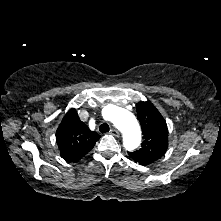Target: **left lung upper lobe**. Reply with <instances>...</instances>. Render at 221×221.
Instances as JSON below:
<instances>
[{
  "label": "left lung upper lobe",
  "mask_w": 221,
  "mask_h": 221,
  "mask_svg": "<svg viewBox=\"0 0 221 221\" xmlns=\"http://www.w3.org/2000/svg\"><path fill=\"white\" fill-rule=\"evenodd\" d=\"M137 116L143 133L142 147L128 153L140 165L151 164L161 158L168 147V129L162 115L149 102H139L136 105Z\"/></svg>",
  "instance_id": "1"
}]
</instances>
